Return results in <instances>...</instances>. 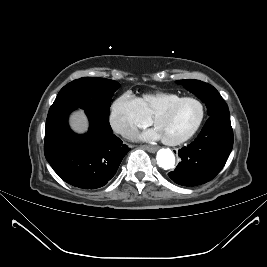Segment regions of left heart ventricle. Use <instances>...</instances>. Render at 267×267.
Masks as SVG:
<instances>
[{
	"mask_svg": "<svg viewBox=\"0 0 267 267\" xmlns=\"http://www.w3.org/2000/svg\"><path fill=\"white\" fill-rule=\"evenodd\" d=\"M200 116V107L194 101H186L170 113L160 117L156 129L165 139H177L188 133Z\"/></svg>",
	"mask_w": 267,
	"mask_h": 267,
	"instance_id": "1",
	"label": "left heart ventricle"
}]
</instances>
